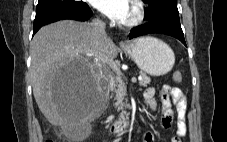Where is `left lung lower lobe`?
Listing matches in <instances>:
<instances>
[{"mask_svg": "<svg viewBox=\"0 0 227 142\" xmlns=\"http://www.w3.org/2000/svg\"><path fill=\"white\" fill-rule=\"evenodd\" d=\"M150 33L170 35L180 40L186 46L180 21L177 18H172L164 15H158L156 17L150 18L149 22L146 25L131 29L129 37L130 39H132Z\"/></svg>", "mask_w": 227, "mask_h": 142, "instance_id": "left-lung-lower-lobe-1", "label": "left lung lower lobe"}]
</instances>
